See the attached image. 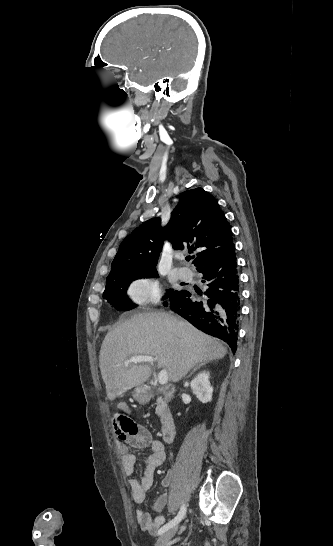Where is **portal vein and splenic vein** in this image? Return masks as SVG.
I'll list each match as a JSON object with an SVG mask.
<instances>
[{
  "label": "portal vein and splenic vein",
  "mask_w": 333,
  "mask_h": 546,
  "mask_svg": "<svg viewBox=\"0 0 333 546\" xmlns=\"http://www.w3.org/2000/svg\"><path fill=\"white\" fill-rule=\"evenodd\" d=\"M156 361V358L149 355H138L131 356L128 360L125 361V366L127 367L130 363H153ZM159 384L164 385L168 382V373L166 369H162L158 374Z\"/></svg>",
  "instance_id": "obj_1"
}]
</instances>
